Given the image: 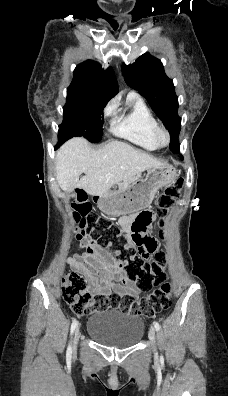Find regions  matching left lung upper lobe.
<instances>
[{"label": "left lung upper lobe", "instance_id": "left-lung-upper-lobe-1", "mask_svg": "<svg viewBox=\"0 0 228 396\" xmlns=\"http://www.w3.org/2000/svg\"><path fill=\"white\" fill-rule=\"evenodd\" d=\"M128 86L138 90L170 133V150L179 152L178 135L181 118L178 117V97L173 81L169 79L160 60L149 53L141 55L133 64L122 66Z\"/></svg>", "mask_w": 228, "mask_h": 396}]
</instances>
